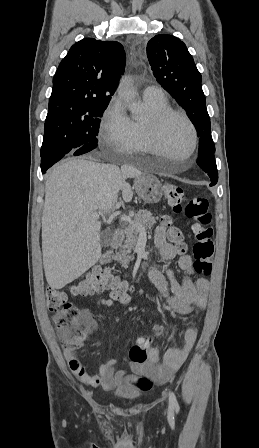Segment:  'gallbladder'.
<instances>
[{
    "mask_svg": "<svg viewBox=\"0 0 259 448\" xmlns=\"http://www.w3.org/2000/svg\"><path fill=\"white\" fill-rule=\"evenodd\" d=\"M145 166H142V170H144ZM113 242V232L112 230H103L100 234V246L101 248H107V246H111Z\"/></svg>",
    "mask_w": 259,
    "mask_h": 448,
    "instance_id": "gallbladder-1",
    "label": "gallbladder"
}]
</instances>
